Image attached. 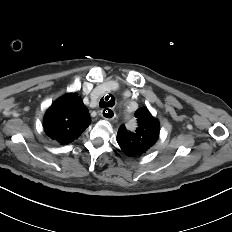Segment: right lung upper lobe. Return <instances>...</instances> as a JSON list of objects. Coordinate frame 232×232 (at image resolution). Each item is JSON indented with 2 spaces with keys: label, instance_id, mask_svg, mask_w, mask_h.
I'll use <instances>...</instances> for the list:
<instances>
[{
  "label": "right lung upper lobe",
  "instance_id": "obj_1",
  "mask_svg": "<svg viewBox=\"0 0 232 232\" xmlns=\"http://www.w3.org/2000/svg\"><path fill=\"white\" fill-rule=\"evenodd\" d=\"M91 122L88 110L76 93L57 99L44 116L46 135L61 145L77 139Z\"/></svg>",
  "mask_w": 232,
  "mask_h": 232
}]
</instances>
